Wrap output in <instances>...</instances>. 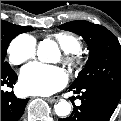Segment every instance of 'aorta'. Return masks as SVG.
I'll return each mask as SVG.
<instances>
[{"label": "aorta", "mask_w": 121, "mask_h": 121, "mask_svg": "<svg viewBox=\"0 0 121 121\" xmlns=\"http://www.w3.org/2000/svg\"><path fill=\"white\" fill-rule=\"evenodd\" d=\"M57 45L50 40H44L39 43L37 54L41 61H50L51 57L57 54ZM55 113L60 117H66L71 112V105L65 100H61L58 104L54 105Z\"/></svg>", "instance_id": "aorta-1"}]
</instances>
